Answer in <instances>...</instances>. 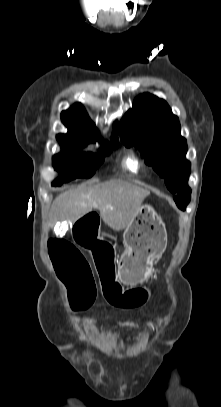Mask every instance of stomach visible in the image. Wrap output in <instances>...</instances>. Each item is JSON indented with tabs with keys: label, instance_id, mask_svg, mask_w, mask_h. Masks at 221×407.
<instances>
[{
	"label": "stomach",
	"instance_id": "1",
	"mask_svg": "<svg viewBox=\"0 0 221 407\" xmlns=\"http://www.w3.org/2000/svg\"><path fill=\"white\" fill-rule=\"evenodd\" d=\"M123 244L125 251L118 260L120 280L127 285L144 282L151 274L153 261L167 246L165 224L151 205H140L124 231Z\"/></svg>",
	"mask_w": 221,
	"mask_h": 407
}]
</instances>
